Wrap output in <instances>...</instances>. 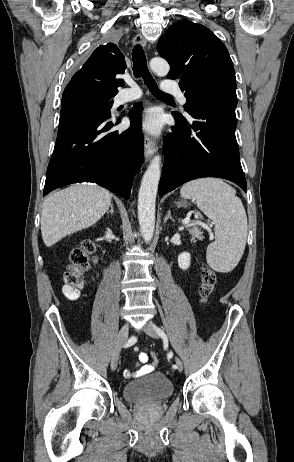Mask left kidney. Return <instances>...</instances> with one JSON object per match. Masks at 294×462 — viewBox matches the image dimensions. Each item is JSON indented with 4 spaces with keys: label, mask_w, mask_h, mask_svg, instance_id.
Wrapping results in <instances>:
<instances>
[{
    "label": "left kidney",
    "mask_w": 294,
    "mask_h": 462,
    "mask_svg": "<svg viewBox=\"0 0 294 462\" xmlns=\"http://www.w3.org/2000/svg\"><path fill=\"white\" fill-rule=\"evenodd\" d=\"M191 256L188 252H183L178 256V265L182 270H186L190 266Z\"/></svg>",
    "instance_id": "1"
}]
</instances>
